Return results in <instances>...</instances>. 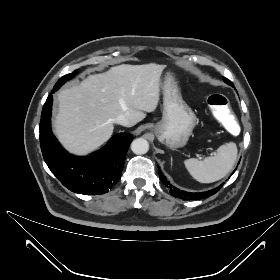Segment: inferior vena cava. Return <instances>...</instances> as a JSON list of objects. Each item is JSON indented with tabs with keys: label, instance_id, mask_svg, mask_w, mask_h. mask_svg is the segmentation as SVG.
Segmentation results:
<instances>
[{
	"label": "inferior vena cava",
	"instance_id": "obj_1",
	"mask_svg": "<svg viewBox=\"0 0 280 280\" xmlns=\"http://www.w3.org/2000/svg\"><path fill=\"white\" fill-rule=\"evenodd\" d=\"M113 121H114V123H117V124H120L123 126H130V121L128 120V118L125 115H119Z\"/></svg>",
	"mask_w": 280,
	"mask_h": 280
}]
</instances>
